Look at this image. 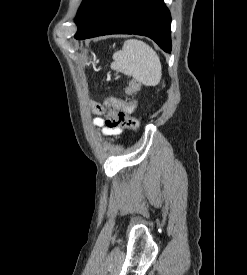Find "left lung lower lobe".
Here are the masks:
<instances>
[{"mask_svg": "<svg viewBox=\"0 0 247 275\" xmlns=\"http://www.w3.org/2000/svg\"><path fill=\"white\" fill-rule=\"evenodd\" d=\"M107 34H137L171 51V16L163 0H101L75 38L83 40Z\"/></svg>", "mask_w": 247, "mask_h": 275, "instance_id": "left-lung-lower-lobe-1", "label": "left lung lower lobe"}]
</instances>
